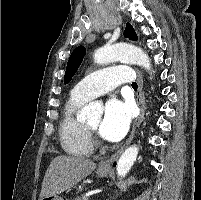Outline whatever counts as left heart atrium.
I'll list each match as a JSON object with an SVG mask.
<instances>
[{
  "instance_id": "obj_1",
  "label": "left heart atrium",
  "mask_w": 201,
  "mask_h": 200,
  "mask_svg": "<svg viewBox=\"0 0 201 200\" xmlns=\"http://www.w3.org/2000/svg\"><path fill=\"white\" fill-rule=\"evenodd\" d=\"M131 123V110L128 104L111 99L105 105L99 134L104 139L117 142L128 132Z\"/></svg>"
}]
</instances>
